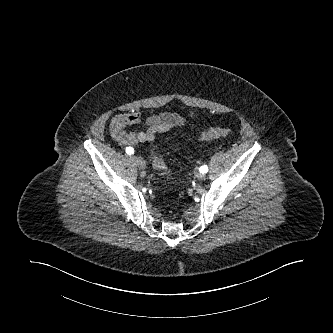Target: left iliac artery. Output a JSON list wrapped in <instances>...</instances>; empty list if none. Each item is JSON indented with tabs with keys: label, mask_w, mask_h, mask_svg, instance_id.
<instances>
[{
	"label": "left iliac artery",
	"mask_w": 333,
	"mask_h": 333,
	"mask_svg": "<svg viewBox=\"0 0 333 333\" xmlns=\"http://www.w3.org/2000/svg\"><path fill=\"white\" fill-rule=\"evenodd\" d=\"M199 171L201 173H207L208 172V166L207 165H202L200 168H199Z\"/></svg>",
	"instance_id": "obj_1"
}]
</instances>
